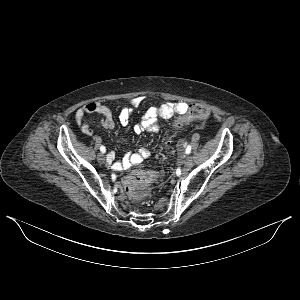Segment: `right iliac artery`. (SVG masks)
Returning <instances> with one entry per match:
<instances>
[{
    "label": "right iliac artery",
    "instance_id": "82829eb1",
    "mask_svg": "<svg viewBox=\"0 0 300 300\" xmlns=\"http://www.w3.org/2000/svg\"><path fill=\"white\" fill-rule=\"evenodd\" d=\"M100 151H101L102 153H105V152H106V148H105L104 146H101V147H100Z\"/></svg>",
    "mask_w": 300,
    "mask_h": 300
}]
</instances>
